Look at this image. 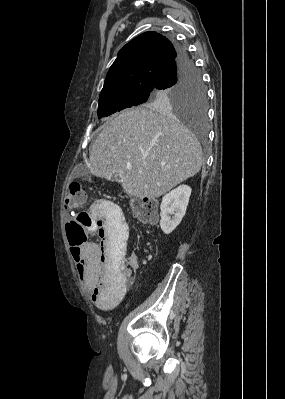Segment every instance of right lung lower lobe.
<instances>
[{"instance_id": "obj_1", "label": "right lung lower lobe", "mask_w": 285, "mask_h": 399, "mask_svg": "<svg viewBox=\"0 0 285 399\" xmlns=\"http://www.w3.org/2000/svg\"><path fill=\"white\" fill-rule=\"evenodd\" d=\"M177 57L164 70L159 80L155 85V89H162L173 83H176L186 70L194 66L190 60L186 49L182 47L176 48Z\"/></svg>"}]
</instances>
